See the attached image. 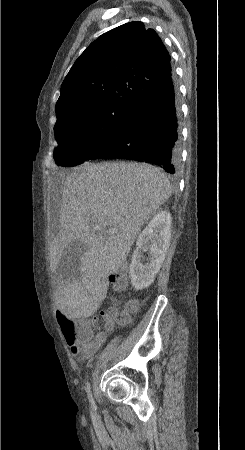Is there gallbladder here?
I'll return each mask as SVG.
<instances>
[{
  "label": "gallbladder",
  "mask_w": 245,
  "mask_h": 450,
  "mask_svg": "<svg viewBox=\"0 0 245 450\" xmlns=\"http://www.w3.org/2000/svg\"><path fill=\"white\" fill-rule=\"evenodd\" d=\"M86 248V245L79 241H73L66 247L55 271L59 279L68 280L70 277H79L80 259Z\"/></svg>",
  "instance_id": "gallbladder-1"
}]
</instances>
